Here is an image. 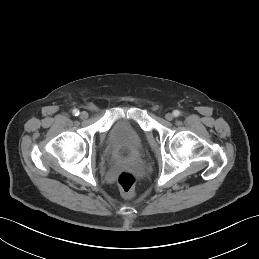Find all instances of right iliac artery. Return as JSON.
I'll list each match as a JSON object with an SVG mask.
<instances>
[{"mask_svg": "<svg viewBox=\"0 0 259 259\" xmlns=\"http://www.w3.org/2000/svg\"><path fill=\"white\" fill-rule=\"evenodd\" d=\"M72 113H73V115L78 116L79 115V110L78 109H74L72 111Z\"/></svg>", "mask_w": 259, "mask_h": 259, "instance_id": "82829eb1", "label": "right iliac artery"}]
</instances>
